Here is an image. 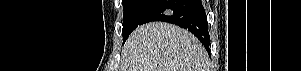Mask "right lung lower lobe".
<instances>
[{
    "label": "right lung lower lobe",
    "mask_w": 301,
    "mask_h": 71,
    "mask_svg": "<svg viewBox=\"0 0 301 71\" xmlns=\"http://www.w3.org/2000/svg\"><path fill=\"white\" fill-rule=\"evenodd\" d=\"M151 21L169 22L189 30L210 52L207 16L201 0H157L139 25Z\"/></svg>",
    "instance_id": "98d812e1"
}]
</instances>
